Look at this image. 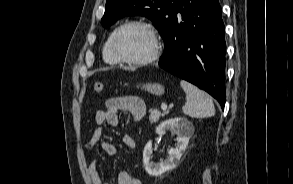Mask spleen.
<instances>
[{"mask_svg":"<svg viewBox=\"0 0 293 184\" xmlns=\"http://www.w3.org/2000/svg\"><path fill=\"white\" fill-rule=\"evenodd\" d=\"M180 85L186 93V103L182 107L185 115L193 118H206L215 115L214 104L206 92L184 80H181Z\"/></svg>","mask_w":293,"mask_h":184,"instance_id":"spleen-1","label":"spleen"}]
</instances>
